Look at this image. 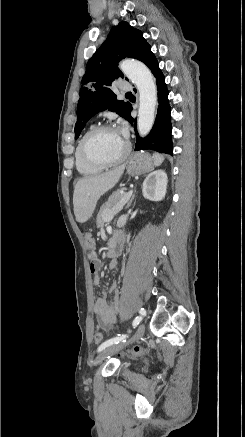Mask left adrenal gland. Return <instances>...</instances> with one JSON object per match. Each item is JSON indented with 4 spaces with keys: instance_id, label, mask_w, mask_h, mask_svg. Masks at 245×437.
Returning a JSON list of instances; mask_svg holds the SVG:
<instances>
[{
    "instance_id": "obj_1",
    "label": "left adrenal gland",
    "mask_w": 245,
    "mask_h": 437,
    "mask_svg": "<svg viewBox=\"0 0 245 437\" xmlns=\"http://www.w3.org/2000/svg\"><path fill=\"white\" fill-rule=\"evenodd\" d=\"M134 198H135V192H134V194L132 195L130 201L128 202V204H127V206H126V209H128V208L131 206V204H132Z\"/></svg>"
}]
</instances>
